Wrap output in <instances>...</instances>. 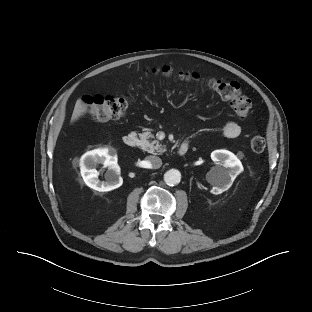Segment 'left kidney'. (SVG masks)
Wrapping results in <instances>:
<instances>
[{
	"mask_svg": "<svg viewBox=\"0 0 312 312\" xmlns=\"http://www.w3.org/2000/svg\"><path fill=\"white\" fill-rule=\"evenodd\" d=\"M211 159L223 166L212 167L207 173L210 183L214 185L211 193L218 195L231 187L234 179L243 171V166L237 156L228 150L213 151Z\"/></svg>",
	"mask_w": 312,
	"mask_h": 312,
	"instance_id": "obj_1",
	"label": "left kidney"
}]
</instances>
